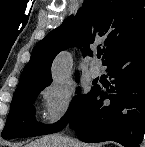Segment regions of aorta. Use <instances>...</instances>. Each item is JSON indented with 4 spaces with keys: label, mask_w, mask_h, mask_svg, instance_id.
Instances as JSON below:
<instances>
[{
    "label": "aorta",
    "mask_w": 145,
    "mask_h": 147,
    "mask_svg": "<svg viewBox=\"0 0 145 147\" xmlns=\"http://www.w3.org/2000/svg\"><path fill=\"white\" fill-rule=\"evenodd\" d=\"M71 71V58L69 53L59 54L53 62L52 75L56 83L64 81Z\"/></svg>",
    "instance_id": "aorta-1"
}]
</instances>
